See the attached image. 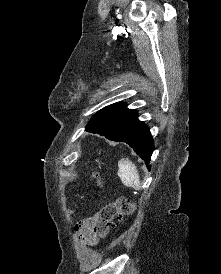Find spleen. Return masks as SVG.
Returning a JSON list of instances; mask_svg holds the SVG:
<instances>
[{
  "mask_svg": "<svg viewBox=\"0 0 221 274\" xmlns=\"http://www.w3.org/2000/svg\"><path fill=\"white\" fill-rule=\"evenodd\" d=\"M118 176L125 186L135 190L141 188L139 173L130 160L123 158L118 162Z\"/></svg>",
  "mask_w": 221,
  "mask_h": 274,
  "instance_id": "spleen-1",
  "label": "spleen"
}]
</instances>
